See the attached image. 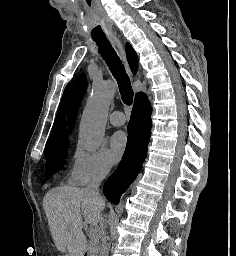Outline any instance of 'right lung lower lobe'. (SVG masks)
Returning a JSON list of instances; mask_svg holds the SVG:
<instances>
[{
	"instance_id": "98d812e1",
	"label": "right lung lower lobe",
	"mask_w": 236,
	"mask_h": 256,
	"mask_svg": "<svg viewBox=\"0 0 236 256\" xmlns=\"http://www.w3.org/2000/svg\"><path fill=\"white\" fill-rule=\"evenodd\" d=\"M151 135V106L144 93L135 96L128 124L127 146L117 170L106 180L103 192L112 203L118 204L120 196L134 181L142 168Z\"/></svg>"
}]
</instances>
